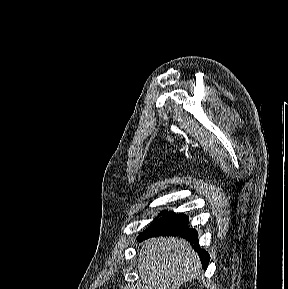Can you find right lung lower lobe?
<instances>
[{"instance_id": "98d812e1", "label": "right lung lower lobe", "mask_w": 288, "mask_h": 289, "mask_svg": "<svg viewBox=\"0 0 288 289\" xmlns=\"http://www.w3.org/2000/svg\"><path fill=\"white\" fill-rule=\"evenodd\" d=\"M188 217L184 214H175L169 212L160 219L155 220L145 231H143L137 240L142 241L155 236H175L180 235L186 238L198 251L203 268H207L209 255L205 250L199 249L197 231L188 227Z\"/></svg>"}]
</instances>
